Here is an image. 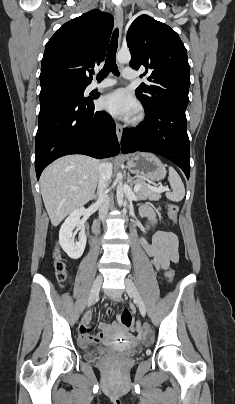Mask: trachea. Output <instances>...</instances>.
Returning a JSON list of instances; mask_svg holds the SVG:
<instances>
[{
	"instance_id": "1",
	"label": "trachea",
	"mask_w": 235,
	"mask_h": 404,
	"mask_svg": "<svg viewBox=\"0 0 235 404\" xmlns=\"http://www.w3.org/2000/svg\"><path fill=\"white\" fill-rule=\"evenodd\" d=\"M118 43V29H115L112 35L111 43L107 52L106 61L103 69L97 75V80H102L108 76L110 72L114 75H119L118 67L116 65V52Z\"/></svg>"
}]
</instances>
